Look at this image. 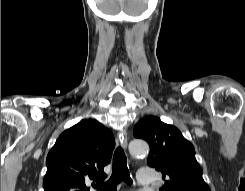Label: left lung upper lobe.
I'll return each mask as SVG.
<instances>
[{
    "label": "left lung upper lobe",
    "mask_w": 245,
    "mask_h": 191,
    "mask_svg": "<svg viewBox=\"0 0 245 191\" xmlns=\"http://www.w3.org/2000/svg\"><path fill=\"white\" fill-rule=\"evenodd\" d=\"M133 134L150 145L147 164L166 179L160 191H210L195 158L194 146L178 128L156 116H147L136 124Z\"/></svg>",
    "instance_id": "5c2ea615"
}]
</instances>
